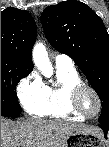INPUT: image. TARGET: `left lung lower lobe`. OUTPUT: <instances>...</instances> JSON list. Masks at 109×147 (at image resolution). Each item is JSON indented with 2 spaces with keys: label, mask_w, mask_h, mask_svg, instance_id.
<instances>
[{
  "label": "left lung lower lobe",
  "mask_w": 109,
  "mask_h": 147,
  "mask_svg": "<svg viewBox=\"0 0 109 147\" xmlns=\"http://www.w3.org/2000/svg\"><path fill=\"white\" fill-rule=\"evenodd\" d=\"M99 126L102 128V130L104 131V135L107 136V133L109 131V124H102L99 123Z\"/></svg>",
  "instance_id": "obj_1"
}]
</instances>
